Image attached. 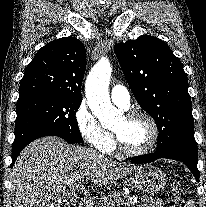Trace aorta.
I'll return each instance as SVG.
<instances>
[{
  "label": "aorta",
  "mask_w": 206,
  "mask_h": 207,
  "mask_svg": "<svg viewBox=\"0 0 206 207\" xmlns=\"http://www.w3.org/2000/svg\"><path fill=\"white\" fill-rule=\"evenodd\" d=\"M111 72L110 62L103 58L93 67L85 85L88 106L100 123L106 127L119 116V111L111 103L108 92Z\"/></svg>",
  "instance_id": "1"
}]
</instances>
